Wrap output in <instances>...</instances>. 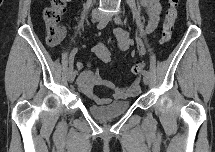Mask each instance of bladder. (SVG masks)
Returning a JSON list of instances; mask_svg holds the SVG:
<instances>
[{"mask_svg":"<svg viewBox=\"0 0 215 152\" xmlns=\"http://www.w3.org/2000/svg\"><path fill=\"white\" fill-rule=\"evenodd\" d=\"M130 106V101H117L106 105L91 104L89 112L98 119H110L124 114Z\"/></svg>","mask_w":215,"mask_h":152,"instance_id":"obj_1","label":"bladder"}]
</instances>
